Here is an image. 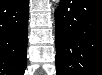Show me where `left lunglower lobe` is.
<instances>
[{"label": "left lung lower lobe", "instance_id": "obj_1", "mask_svg": "<svg viewBox=\"0 0 102 75\" xmlns=\"http://www.w3.org/2000/svg\"><path fill=\"white\" fill-rule=\"evenodd\" d=\"M101 18V0H61L55 13L57 75H102Z\"/></svg>", "mask_w": 102, "mask_h": 75}]
</instances>
